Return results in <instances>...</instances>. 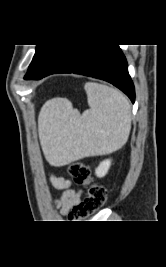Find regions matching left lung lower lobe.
Wrapping results in <instances>:
<instances>
[{"label": "left lung lower lobe", "mask_w": 166, "mask_h": 267, "mask_svg": "<svg viewBox=\"0 0 166 267\" xmlns=\"http://www.w3.org/2000/svg\"><path fill=\"white\" fill-rule=\"evenodd\" d=\"M55 73H76L105 80L122 90L132 103L135 101L134 85L119 45H57L43 60L32 80Z\"/></svg>", "instance_id": "0a47b994"}]
</instances>
